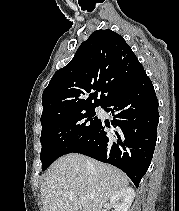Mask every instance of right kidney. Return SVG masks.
<instances>
[{
  "label": "right kidney",
  "instance_id": "ca27d5eb",
  "mask_svg": "<svg viewBox=\"0 0 179 211\" xmlns=\"http://www.w3.org/2000/svg\"><path fill=\"white\" fill-rule=\"evenodd\" d=\"M135 191L131 187H125L110 198V204L113 207V211H129V208L134 200Z\"/></svg>",
  "mask_w": 179,
  "mask_h": 211
}]
</instances>
